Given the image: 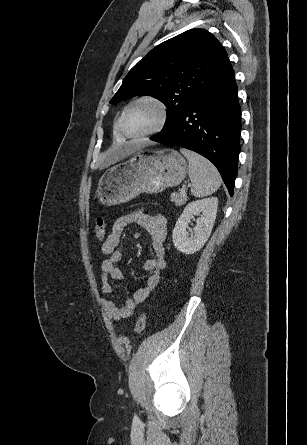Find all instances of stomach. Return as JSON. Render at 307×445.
Wrapping results in <instances>:
<instances>
[{"mask_svg":"<svg viewBox=\"0 0 307 445\" xmlns=\"http://www.w3.org/2000/svg\"><path fill=\"white\" fill-rule=\"evenodd\" d=\"M188 170L186 158L173 148H142L126 162L108 168L97 186V198L102 204H121L141 192L155 194L168 186H177Z\"/></svg>","mask_w":307,"mask_h":445,"instance_id":"1","label":"stomach"}]
</instances>
